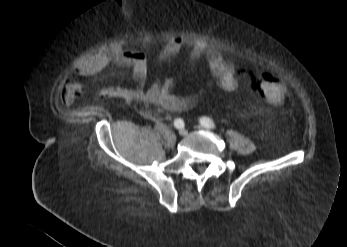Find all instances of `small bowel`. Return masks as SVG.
<instances>
[{"instance_id":"c3829d8e","label":"small bowel","mask_w":347,"mask_h":247,"mask_svg":"<svg viewBox=\"0 0 347 247\" xmlns=\"http://www.w3.org/2000/svg\"><path fill=\"white\" fill-rule=\"evenodd\" d=\"M186 47L187 43L183 39L171 38L164 43L160 50L159 60L167 62ZM188 56L193 64L202 57L207 61L210 79L203 92L213 86H218L226 92H234L240 88L242 79L238 76L234 64L226 60L218 49L201 43H194L189 47ZM110 64L130 68L137 86L134 89L118 85L108 86L107 92L125 101H137L144 105L153 106L154 110L144 113V116L151 121H160L163 117V111L182 112L190 109L199 98L200 94L188 96L174 94L176 80L172 77L157 80L145 88L148 67L146 54L143 50L126 51L121 47L100 50L79 60L75 69L78 75L89 77L104 70ZM246 81L249 83L248 79ZM80 92L81 87L78 84L65 85L60 93L61 104L70 106Z\"/></svg>"}]
</instances>
